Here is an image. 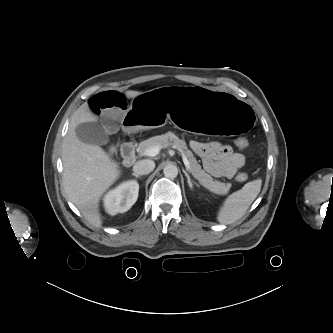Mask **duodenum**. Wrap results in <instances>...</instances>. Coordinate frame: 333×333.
Returning a JSON list of instances; mask_svg holds the SVG:
<instances>
[{
	"instance_id": "duodenum-1",
	"label": "duodenum",
	"mask_w": 333,
	"mask_h": 333,
	"mask_svg": "<svg viewBox=\"0 0 333 333\" xmlns=\"http://www.w3.org/2000/svg\"><path fill=\"white\" fill-rule=\"evenodd\" d=\"M123 163L125 166H131L136 160L135 141L132 137L127 136L121 146Z\"/></svg>"
}]
</instances>
